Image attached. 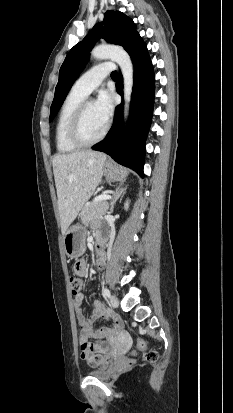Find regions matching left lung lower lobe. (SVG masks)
Masks as SVG:
<instances>
[{
    "instance_id": "left-lung-lower-lobe-1",
    "label": "left lung lower lobe",
    "mask_w": 233,
    "mask_h": 413,
    "mask_svg": "<svg viewBox=\"0 0 233 413\" xmlns=\"http://www.w3.org/2000/svg\"><path fill=\"white\" fill-rule=\"evenodd\" d=\"M134 63V85L128 126H122V105L116 107L113 125L107 138L93 149L110 155L116 162L143 177L145 141L150 128L154 101V72L147 46L141 42L130 52ZM117 92L123 94L122 75Z\"/></svg>"
}]
</instances>
